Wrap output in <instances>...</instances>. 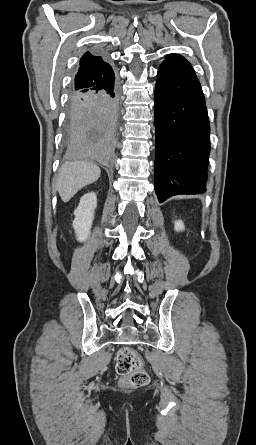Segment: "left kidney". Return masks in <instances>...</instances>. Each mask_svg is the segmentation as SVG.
Instances as JSON below:
<instances>
[{"label": "left kidney", "instance_id": "obj_1", "mask_svg": "<svg viewBox=\"0 0 256 445\" xmlns=\"http://www.w3.org/2000/svg\"><path fill=\"white\" fill-rule=\"evenodd\" d=\"M174 228H175V231H182V230H184V224H183V222L181 221V220H177V221H175L174 222Z\"/></svg>", "mask_w": 256, "mask_h": 445}]
</instances>
